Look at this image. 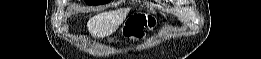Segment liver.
Wrapping results in <instances>:
<instances>
[{
	"mask_svg": "<svg viewBox=\"0 0 261 59\" xmlns=\"http://www.w3.org/2000/svg\"><path fill=\"white\" fill-rule=\"evenodd\" d=\"M125 15L114 12L97 14L87 23L89 32L98 37L114 33L123 23Z\"/></svg>",
	"mask_w": 261,
	"mask_h": 59,
	"instance_id": "obj_1",
	"label": "liver"
}]
</instances>
